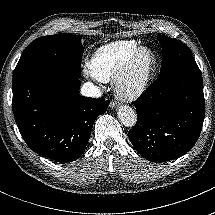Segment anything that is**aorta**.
<instances>
[{
  "label": "aorta",
  "instance_id": "762f6f07",
  "mask_svg": "<svg viewBox=\"0 0 215 215\" xmlns=\"http://www.w3.org/2000/svg\"><path fill=\"white\" fill-rule=\"evenodd\" d=\"M120 122L126 127H132L136 124L137 114L130 106L122 105L117 112Z\"/></svg>",
  "mask_w": 215,
  "mask_h": 215
}]
</instances>
